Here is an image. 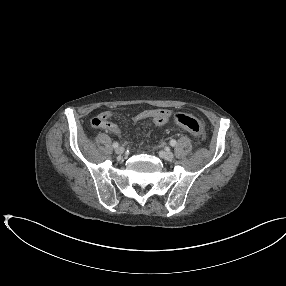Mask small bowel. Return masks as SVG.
I'll return each mask as SVG.
<instances>
[{
	"label": "small bowel",
	"mask_w": 286,
	"mask_h": 286,
	"mask_svg": "<svg viewBox=\"0 0 286 286\" xmlns=\"http://www.w3.org/2000/svg\"><path fill=\"white\" fill-rule=\"evenodd\" d=\"M170 112L166 109H147L133 117L134 122L151 120L157 126H165L170 119ZM112 113L103 111L91 120V126L102 128L115 135H121L120 127L111 121Z\"/></svg>",
	"instance_id": "small-bowel-1"
}]
</instances>
